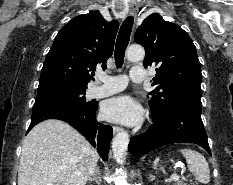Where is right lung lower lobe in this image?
<instances>
[{
  "label": "right lung lower lobe",
  "mask_w": 233,
  "mask_h": 185,
  "mask_svg": "<svg viewBox=\"0 0 233 185\" xmlns=\"http://www.w3.org/2000/svg\"><path fill=\"white\" fill-rule=\"evenodd\" d=\"M97 104L79 105L67 101H35L32 121L28 132L39 122L47 119H59L77 129L94 147L104 161L108 159L109 144L112 139V128L96 120Z\"/></svg>",
  "instance_id": "1"
}]
</instances>
